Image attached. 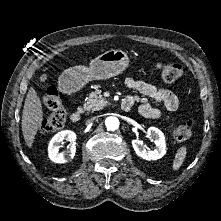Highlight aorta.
Masks as SVG:
<instances>
[{
	"label": "aorta",
	"instance_id": "762f6f07",
	"mask_svg": "<svg viewBox=\"0 0 221 221\" xmlns=\"http://www.w3.org/2000/svg\"><path fill=\"white\" fill-rule=\"evenodd\" d=\"M107 130L115 131L119 128V119L114 116L107 117L105 120Z\"/></svg>",
	"mask_w": 221,
	"mask_h": 221
}]
</instances>
